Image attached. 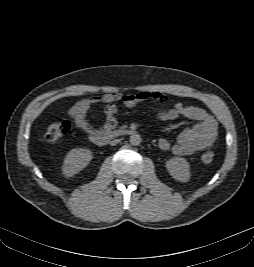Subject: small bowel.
<instances>
[{"label": "small bowel", "mask_w": 254, "mask_h": 267, "mask_svg": "<svg viewBox=\"0 0 254 267\" xmlns=\"http://www.w3.org/2000/svg\"><path fill=\"white\" fill-rule=\"evenodd\" d=\"M164 101L166 96L160 92L140 91L138 93L122 95L119 93H108L102 97L84 98L77 101L70 109L69 115L73 118L76 126L83 132L92 136L101 130L94 128L86 118L93 105L102 103L104 105L105 123L103 130H112L117 125L118 107L116 102H122L126 107H135L148 100ZM179 117L194 120L197 123L191 128L184 129L178 136L177 141L172 144L167 139L159 140V147L164 151L171 150L175 155L185 156L210 147L217 136V122L204 109L175 103L172 107L162 110L159 118L162 121H171Z\"/></svg>", "instance_id": "1"}]
</instances>
